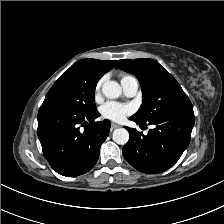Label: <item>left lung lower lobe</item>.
I'll return each mask as SVG.
<instances>
[{
  "label": "left lung lower lobe",
  "instance_id": "1",
  "mask_svg": "<svg viewBox=\"0 0 224 224\" xmlns=\"http://www.w3.org/2000/svg\"><path fill=\"white\" fill-rule=\"evenodd\" d=\"M130 120L144 124L133 117ZM195 116L181 113L160 118L148 124L156 126L145 136L136 129L125 127L130 139L123 148L127 162L144 173H160L171 168L187 148L194 126Z\"/></svg>",
  "mask_w": 224,
  "mask_h": 224
}]
</instances>
